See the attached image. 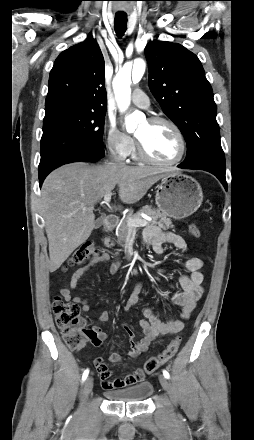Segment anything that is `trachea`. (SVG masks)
I'll list each match as a JSON object with an SVG mask.
<instances>
[{"instance_id":"3493384b","label":"trachea","mask_w":254,"mask_h":440,"mask_svg":"<svg viewBox=\"0 0 254 440\" xmlns=\"http://www.w3.org/2000/svg\"><path fill=\"white\" fill-rule=\"evenodd\" d=\"M114 28L117 36H123L127 29V16L116 15L114 20Z\"/></svg>"}]
</instances>
